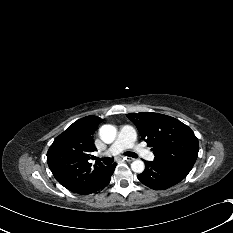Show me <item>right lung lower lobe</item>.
Listing matches in <instances>:
<instances>
[{
    "mask_svg": "<svg viewBox=\"0 0 233 233\" xmlns=\"http://www.w3.org/2000/svg\"><path fill=\"white\" fill-rule=\"evenodd\" d=\"M116 163L108 166L106 170L102 173V175L96 180V182L91 186L87 194L91 193H98L100 190L105 188L111 179V175L114 172V169L116 167Z\"/></svg>",
    "mask_w": 233,
    "mask_h": 233,
    "instance_id": "98d812e1",
    "label": "right lung lower lobe"
}]
</instances>
